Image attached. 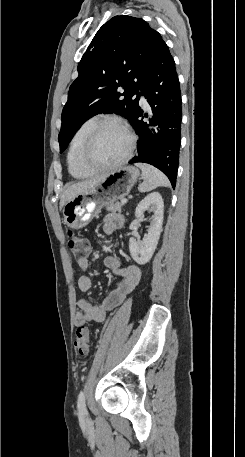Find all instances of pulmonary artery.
Segmentation results:
<instances>
[{"instance_id":"e3ab8cb5","label":"pulmonary artery","mask_w":245,"mask_h":457,"mask_svg":"<svg viewBox=\"0 0 245 457\" xmlns=\"http://www.w3.org/2000/svg\"><path fill=\"white\" fill-rule=\"evenodd\" d=\"M134 96L136 97V100H137L138 102H144V100H145V95L143 94V91H142L141 89H136V90L134 91ZM143 107H144V108H147V107H148V104H147V103H144V104H143Z\"/></svg>"}]
</instances>
